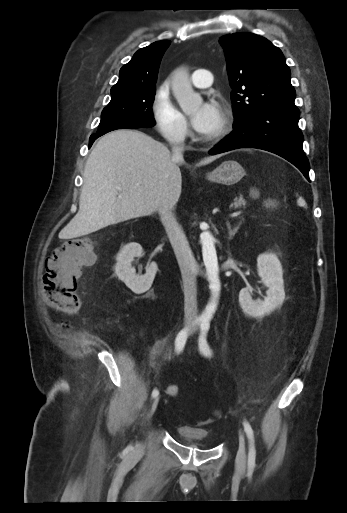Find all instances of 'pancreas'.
Instances as JSON below:
<instances>
[{"instance_id":"1","label":"pancreas","mask_w":347,"mask_h":513,"mask_svg":"<svg viewBox=\"0 0 347 513\" xmlns=\"http://www.w3.org/2000/svg\"><path fill=\"white\" fill-rule=\"evenodd\" d=\"M242 203H244V201L238 200V198H236L234 203L231 204L230 208L240 209L242 207ZM239 218L241 219V221L244 220L243 216H240Z\"/></svg>"}]
</instances>
